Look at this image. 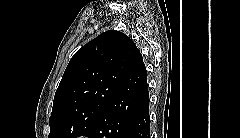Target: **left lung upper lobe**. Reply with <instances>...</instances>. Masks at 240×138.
<instances>
[{"label":"left lung upper lobe","mask_w":240,"mask_h":138,"mask_svg":"<svg viewBox=\"0 0 240 138\" xmlns=\"http://www.w3.org/2000/svg\"><path fill=\"white\" fill-rule=\"evenodd\" d=\"M140 54L118 31H106L71 58L56 90L49 138L89 136Z\"/></svg>","instance_id":"obj_1"}]
</instances>
